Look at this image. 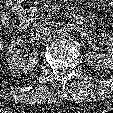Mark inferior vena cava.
Listing matches in <instances>:
<instances>
[{
	"instance_id": "1",
	"label": "inferior vena cava",
	"mask_w": 113,
	"mask_h": 113,
	"mask_svg": "<svg viewBox=\"0 0 113 113\" xmlns=\"http://www.w3.org/2000/svg\"><path fill=\"white\" fill-rule=\"evenodd\" d=\"M53 24L51 22L40 23L36 28V32L40 34H48L52 30Z\"/></svg>"
}]
</instances>
